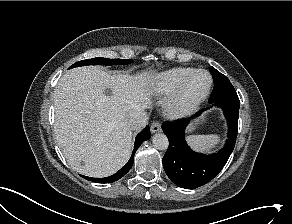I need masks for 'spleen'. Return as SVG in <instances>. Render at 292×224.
<instances>
[{
	"label": "spleen",
	"instance_id": "obj_1",
	"mask_svg": "<svg viewBox=\"0 0 292 224\" xmlns=\"http://www.w3.org/2000/svg\"><path fill=\"white\" fill-rule=\"evenodd\" d=\"M189 145L196 151L209 152L215 149L221 139L219 135H191L186 138Z\"/></svg>",
	"mask_w": 292,
	"mask_h": 224
}]
</instances>
